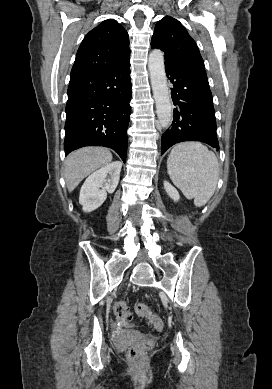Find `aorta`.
Returning <instances> with one entry per match:
<instances>
[{"instance_id":"1","label":"aorta","mask_w":272,"mask_h":389,"mask_svg":"<svg viewBox=\"0 0 272 389\" xmlns=\"http://www.w3.org/2000/svg\"><path fill=\"white\" fill-rule=\"evenodd\" d=\"M151 86L156 103L159 124L166 128L171 124L173 108L167 85L164 54L158 49L152 50L148 58Z\"/></svg>"}]
</instances>
